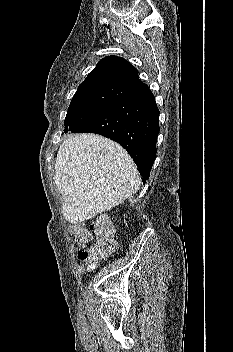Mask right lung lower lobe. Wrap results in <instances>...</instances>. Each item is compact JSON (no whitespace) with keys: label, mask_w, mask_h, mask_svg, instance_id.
<instances>
[{"label":"right lung lower lobe","mask_w":233,"mask_h":352,"mask_svg":"<svg viewBox=\"0 0 233 352\" xmlns=\"http://www.w3.org/2000/svg\"><path fill=\"white\" fill-rule=\"evenodd\" d=\"M71 132L95 133L110 138L133 158L143 183L156 157L159 110L149 88L100 112Z\"/></svg>","instance_id":"98d812e1"}]
</instances>
